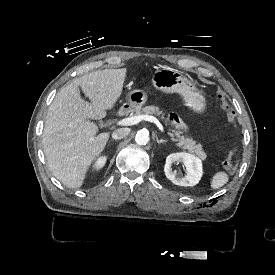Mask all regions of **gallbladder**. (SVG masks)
<instances>
[{
  "mask_svg": "<svg viewBox=\"0 0 275 275\" xmlns=\"http://www.w3.org/2000/svg\"><path fill=\"white\" fill-rule=\"evenodd\" d=\"M103 125V122L102 121H99V126L101 127Z\"/></svg>",
  "mask_w": 275,
  "mask_h": 275,
  "instance_id": "gallbladder-1",
  "label": "gallbladder"
}]
</instances>
